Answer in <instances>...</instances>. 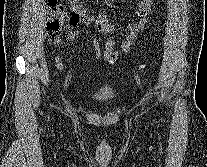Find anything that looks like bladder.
I'll list each match as a JSON object with an SVG mask.
<instances>
[{
	"label": "bladder",
	"mask_w": 207,
	"mask_h": 167,
	"mask_svg": "<svg viewBox=\"0 0 207 167\" xmlns=\"http://www.w3.org/2000/svg\"><path fill=\"white\" fill-rule=\"evenodd\" d=\"M114 97V92L109 87H100L90 96L91 100L97 103L107 102Z\"/></svg>",
	"instance_id": "obj_1"
}]
</instances>
